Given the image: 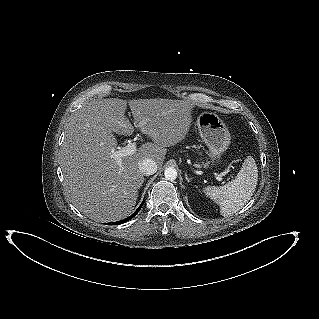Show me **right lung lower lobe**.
Segmentation results:
<instances>
[{"label":"right lung lower lobe","instance_id":"98d812e1","mask_svg":"<svg viewBox=\"0 0 319 319\" xmlns=\"http://www.w3.org/2000/svg\"><path fill=\"white\" fill-rule=\"evenodd\" d=\"M143 204H144V201L141 203V205L138 207V209L131 216H129L128 218H126V219H124L122 221H119V222H113L112 224H118V223L121 224L123 222H126V221L132 219L139 212V210L141 209Z\"/></svg>","mask_w":319,"mask_h":319}]
</instances>
